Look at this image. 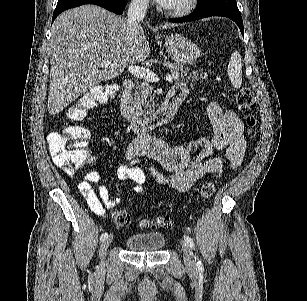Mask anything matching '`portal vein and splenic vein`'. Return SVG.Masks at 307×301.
I'll list each match as a JSON object with an SVG mask.
<instances>
[{"mask_svg":"<svg viewBox=\"0 0 307 301\" xmlns=\"http://www.w3.org/2000/svg\"><path fill=\"white\" fill-rule=\"evenodd\" d=\"M107 64H109V62H101V66H107ZM128 70L133 76L143 78V80H151V82H157V80H159L158 74H155L150 68H142V66H135V64H132V66H128ZM165 78L166 80H172V78H179V74L178 72H174V74H167Z\"/></svg>","mask_w":307,"mask_h":301,"instance_id":"obj_1","label":"portal vein and splenic vein"}]
</instances>
